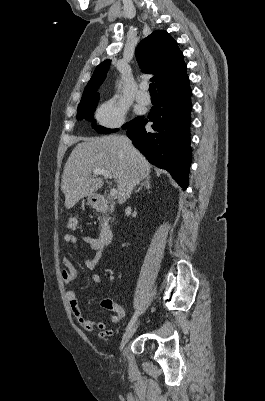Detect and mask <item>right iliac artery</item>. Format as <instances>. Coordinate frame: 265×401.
<instances>
[{"label": "right iliac artery", "instance_id": "right-iliac-artery-1", "mask_svg": "<svg viewBox=\"0 0 265 401\" xmlns=\"http://www.w3.org/2000/svg\"><path fill=\"white\" fill-rule=\"evenodd\" d=\"M137 316H138V312H135V314L133 315V317L131 318L130 322L127 325V329H129L131 326H133V324L137 320Z\"/></svg>", "mask_w": 265, "mask_h": 401}]
</instances>
